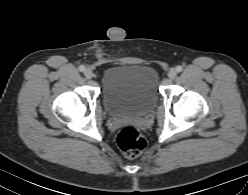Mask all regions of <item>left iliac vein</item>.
Returning <instances> with one entry per match:
<instances>
[{
  "label": "left iliac vein",
  "instance_id": "left-iliac-vein-1",
  "mask_svg": "<svg viewBox=\"0 0 248 195\" xmlns=\"http://www.w3.org/2000/svg\"><path fill=\"white\" fill-rule=\"evenodd\" d=\"M177 75V70L175 68H171L168 72V77L170 79H174Z\"/></svg>",
  "mask_w": 248,
  "mask_h": 195
}]
</instances>
